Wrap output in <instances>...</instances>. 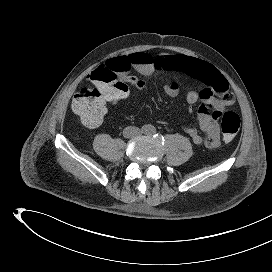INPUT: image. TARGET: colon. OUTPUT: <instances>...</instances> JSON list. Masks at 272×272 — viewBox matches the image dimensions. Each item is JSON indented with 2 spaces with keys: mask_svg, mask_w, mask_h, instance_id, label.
<instances>
[{
  "mask_svg": "<svg viewBox=\"0 0 272 272\" xmlns=\"http://www.w3.org/2000/svg\"><path fill=\"white\" fill-rule=\"evenodd\" d=\"M91 85L80 88L72 100V109L90 128L98 127L110 102L124 99L128 86L120 77V71L110 66H100L88 76ZM220 118L225 141H232L240 129V117L235 112H212Z\"/></svg>",
  "mask_w": 272,
  "mask_h": 272,
  "instance_id": "5ec220e1",
  "label": "colon"
}]
</instances>
